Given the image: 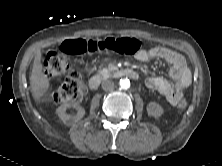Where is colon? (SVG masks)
<instances>
[{"label": "colon", "mask_w": 222, "mask_h": 166, "mask_svg": "<svg viewBox=\"0 0 222 166\" xmlns=\"http://www.w3.org/2000/svg\"><path fill=\"white\" fill-rule=\"evenodd\" d=\"M141 48V42L136 38L108 37L100 40L73 39L65 41L60 52H50L43 61L46 75L56 78L65 75L61 86L50 95V101L59 104L65 101L80 99L84 92L81 75L68 63V56H76L97 51H111L121 55L134 54ZM187 106V99L181 97L177 107L180 110Z\"/></svg>", "instance_id": "5ec220e1"}]
</instances>
